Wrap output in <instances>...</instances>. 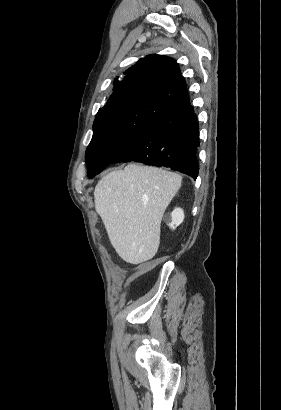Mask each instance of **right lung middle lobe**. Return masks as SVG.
<instances>
[{
    "label": "right lung middle lobe",
    "mask_w": 281,
    "mask_h": 410,
    "mask_svg": "<svg viewBox=\"0 0 281 410\" xmlns=\"http://www.w3.org/2000/svg\"><path fill=\"white\" fill-rule=\"evenodd\" d=\"M164 110L144 103L99 110L85 156L88 177L93 178L113 163Z\"/></svg>",
    "instance_id": "right-lung-middle-lobe-1"
}]
</instances>
